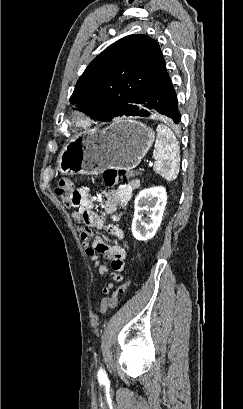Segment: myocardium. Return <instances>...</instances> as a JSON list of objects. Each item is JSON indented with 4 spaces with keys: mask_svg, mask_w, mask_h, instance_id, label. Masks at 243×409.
<instances>
[{
    "mask_svg": "<svg viewBox=\"0 0 243 409\" xmlns=\"http://www.w3.org/2000/svg\"><path fill=\"white\" fill-rule=\"evenodd\" d=\"M93 123L91 116L82 109H73L64 119V125L71 130H84Z\"/></svg>",
    "mask_w": 243,
    "mask_h": 409,
    "instance_id": "f54148a6",
    "label": "myocardium"
}]
</instances>
